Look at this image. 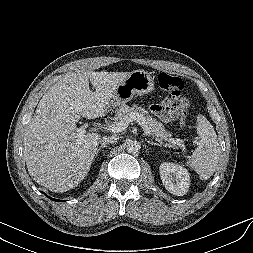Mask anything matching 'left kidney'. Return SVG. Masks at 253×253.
<instances>
[{"mask_svg":"<svg viewBox=\"0 0 253 253\" xmlns=\"http://www.w3.org/2000/svg\"><path fill=\"white\" fill-rule=\"evenodd\" d=\"M162 183L173 195L183 196L190 185L189 172L180 165L164 162L159 167Z\"/></svg>","mask_w":253,"mask_h":253,"instance_id":"left-kidney-1","label":"left kidney"}]
</instances>
